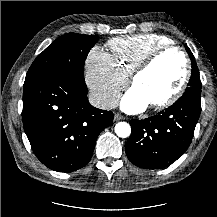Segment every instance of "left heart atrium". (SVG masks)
Masks as SVG:
<instances>
[{
    "label": "left heart atrium",
    "instance_id": "39dd6f15",
    "mask_svg": "<svg viewBox=\"0 0 217 217\" xmlns=\"http://www.w3.org/2000/svg\"><path fill=\"white\" fill-rule=\"evenodd\" d=\"M149 102L134 88L130 89L121 100L123 110L136 113L144 110Z\"/></svg>",
    "mask_w": 217,
    "mask_h": 217
}]
</instances>
